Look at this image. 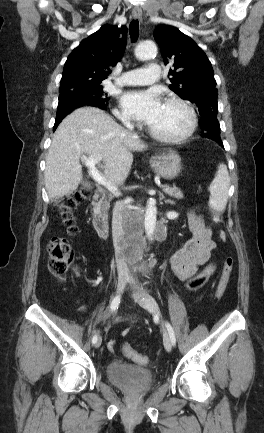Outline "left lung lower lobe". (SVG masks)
<instances>
[{
  "label": "left lung lower lobe",
  "instance_id": "obj_1",
  "mask_svg": "<svg viewBox=\"0 0 264 433\" xmlns=\"http://www.w3.org/2000/svg\"><path fill=\"white\" fill-rule=\"evenodd\" d=\"M200 127H201L202 131H204V130H210V129H213V128L220 127L219 122L217 120V115L208 114V115L201 116ZM203 135H204V133L202 132V136ZM216 142L221 147H223V143H222L221 140H217Z\"/></svg>",
  "mask_w": 264,
  "mask_h": 433
}]
</instances>
